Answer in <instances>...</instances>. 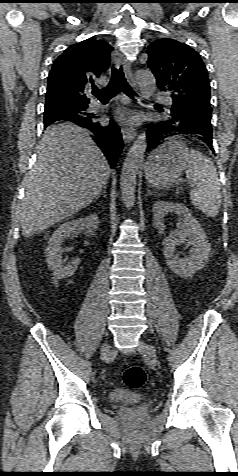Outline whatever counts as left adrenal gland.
<instances>
[{"label": "left adrenal gland", "mask_w": 238, "mask_h": 476, "mask_svg": "<svg viewBox=\"0 0 238 476\" xmlns=\"http://www.w3.org/2000/svg\"><path fill=\"white\" fill-rule=\"evenodd\" d=\"M149 195H157V194H154V193H152L151 190H148V193L146 194V196H149Z\"/></svg>", "instance_id": "left-adrenal-gland-1"}]
</instances>
